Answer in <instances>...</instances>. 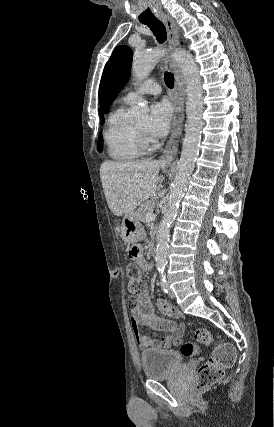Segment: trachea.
Segmentation results:
<instances>
[{"mask_svg":"<svg viewBox=\"0 0 274 427\" xmlns=\"http://www.w3.org/2000/svg\"><path fill=\"white\" fill-rule=\"evenodd\" d=\"M144 25H147L150 30L153 32L156 39L159 41V43H164L167 37V32L165 25H163L162 21L158 20L156 17H152L146 20L141 21ZM164 80L169 88H173L174 84V75L170 72H165L164 74Z\"/></svg>","mask_w":274,"mask_h":427,"instance_id":"1","label":"trachea"}]
</instances>
